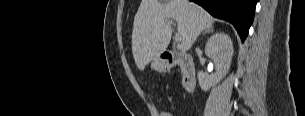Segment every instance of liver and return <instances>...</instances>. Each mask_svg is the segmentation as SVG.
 Segmentation results:
<instances>
[{
  "label": "liver",
  "mask_w": 305,
  "mask_h": 116,
  "mask_svg": "<svg viewBox=\"0 0 305 116\" xmlns=\"http://www.w3.org/2000/svg\"><path fill=\"white\" fill-rule=\"evenodd\" d=\"M173 21L181 35V51H188L201 31L212 28L214 19L201 6L189 0H142L134 17L132 52L143 71L168 47Z\"/></svg>",
  "instance_id": "1"
}]
</instances>
